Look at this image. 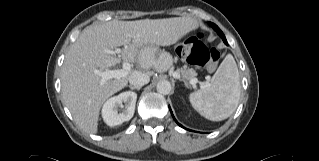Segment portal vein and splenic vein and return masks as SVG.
I'll return each mask as SVG.
<instances>
[{
    "label": "portal vein and splenic vein",
    "instance_id": "18ae733b",
    "mask_svg": "<svg viewBox=\"0 0 319 161\" xmlns=\"http://www.w3.org/2000/svg\"><path fill=\"white\" fill-rule=\"evenodd\" d=\"M112 53L114 54H120L121 53V49L120 48H116L114 51H112ZM123 69H117V70H105V71H99L97 69H95V73L101 77V81L102 82H106L109 79L112 78H122L125 77L129 74L130 70H131V64L129 62H123ZM173 77L179 79L180 78V74L178 72H174L173 73ZM197 83V79H191V84L195 85Z\"/></svg>",
    "mask_w": 319,
    "mask_h": 161
}]
</instances>
